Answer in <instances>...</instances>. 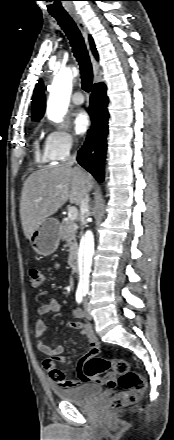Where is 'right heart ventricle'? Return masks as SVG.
<instances>
[{
  "mask_svg": "<svg viewBox=\"0 0 174 440\" xmlns=\"http://www.w3.org/2000/svg\"><path fill=\"white\" fill-rule=\"evenodd\" d=\"M34 157L37 162L46 163L49 160L46 148L42 149L38 140L34 143Z\"/></svg>",
  "mask_w": 174,
  "mask_h": 440,
  "instance_id": "1",
  "label": "right heart ventricle"
}]
</instances>
